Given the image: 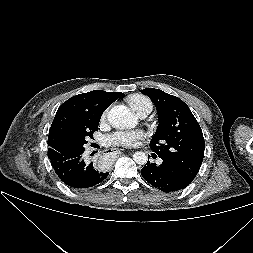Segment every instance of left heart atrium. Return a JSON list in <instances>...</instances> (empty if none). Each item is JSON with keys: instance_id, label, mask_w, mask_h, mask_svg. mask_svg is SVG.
Returning a JSON list of instances; mask_svg holds the SVG:
<instances>
[{"instance_id": "left-heart-atrium-1", "label": "left heart atrium", "mask_w": 253, "mask_h": 253, "mask_svg": "<svg viewBox=\"0 0 253 253\" xmlns=\"http://www.w3.org/2000/svg\"><path fill=\"white\" fill-rule=\"evenodd\" d=\"M146 137L143 130L117 131L106 137L105 142L108 145L132 147L140 140Z\"/></svg>"}]
</instances>
